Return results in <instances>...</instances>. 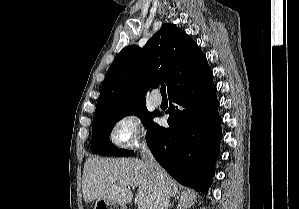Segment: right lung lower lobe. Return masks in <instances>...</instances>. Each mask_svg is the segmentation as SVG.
I'll return each instance as SVG.
<instances>
[{"instance_id": "right-lung-lower-lobe-1", "label": "right lung lower lobe", "mask_w": 299, "mask_h": 209, "mask_svg": "<svg viewBox=\"0 0 299 209\" xmlns=\"http://www.w3.org/2000/svg\"><path fill=\"white\" fill-rule=\"evenodd\" d=\"M213 73L189 79L168 93L169 128L155 123L146 141L157 162L179 183L207 192L222 138Z\"/></svg>"}]
</instances>
